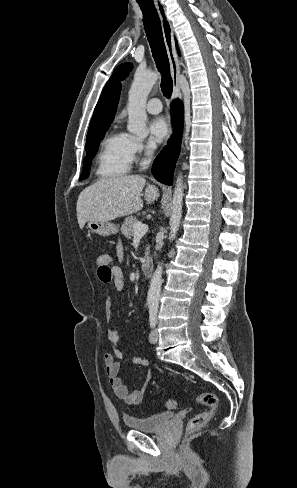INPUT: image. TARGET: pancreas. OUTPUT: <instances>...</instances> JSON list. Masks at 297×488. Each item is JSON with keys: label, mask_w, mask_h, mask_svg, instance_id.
<instances>
[{"label": "pancreas", "mask_w": 297, "mask_h": 488, "mask_svg": "<svg viewBox=\"0 0 297 488\" xmlns=\"http://www.w3.org/2000/svg\"><path fill=\"white\" fill-rule=\"evenodd\" d=\"M137 222L133 217H128L123 222L121 232L127 239H130L134 235V224ZM145 256H148V248L146 249Z\"/></svg>", "instance_id": "1"}]
</instances>
